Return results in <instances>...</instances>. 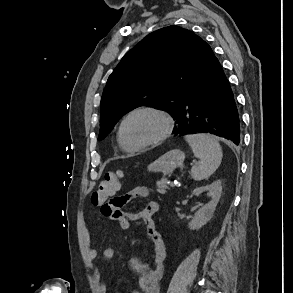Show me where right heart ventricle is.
Returning a JSON list of instances; mask_svg holds the SVG:
<instances>
[{
  "mask_svg": "<svg viewBox=\"0 0 293 293\" xmlns=\"http://www.w3.org/2000/svg\"><path fill=\"white\" fill-rule=\"evenodd\" d=\"M117 141H118L119 146H120L123 150L128 151V152H132V151L126 149V148L124 147V145L122 144V142H121V140H120L119 132H118V134H117Z\"/></svg>",
  "mask_w": 293,
  "mask_h": 293,
  "instance_id": "right-heart-ventricle-1",
  "label": "right heart ventricle"
}]
</instances>
